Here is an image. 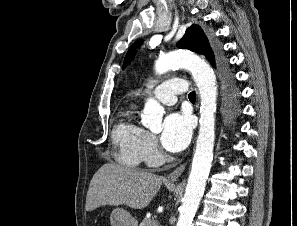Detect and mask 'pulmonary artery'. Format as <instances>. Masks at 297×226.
<instances>
[{"instance_id":"e3ab8cb5","label":"pulmonary artery","mask_w":297,"mask_h":226,"mask_svg":"<svg viewBox=\"0 0 297 226\" xmlns=\"http://www.w3.org/2000/svg\"><path fill=\"white\" fill-rule=\"evenodd\" d=\"M188 90V85L185 80L180 78H172L158 84L154 90V97L165 105H173L176 103V97L180 94H185Z\"/></svg>"}]
</instances>
